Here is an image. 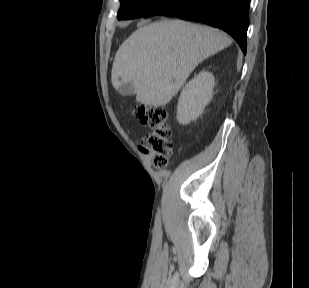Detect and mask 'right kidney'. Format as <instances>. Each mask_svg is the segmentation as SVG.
Listing matches in <instances>:
<instances>
[{
    "label": "right kidney",
    "instance_id": "1",
    "mask_svg": "<svg viewBox=\"0 0 309 288\" xmlns=\"http://www.w3.org/2000/svg\"><path fill=\"white\" fill-rule=\"evenodd\" d=\"M214 76L201 72L182 89L177 106V121L186 125L196 120L212 99Z\"/></svg>",
    "mask_w": 309,
    "mask_h": 288
}]
</instances>
